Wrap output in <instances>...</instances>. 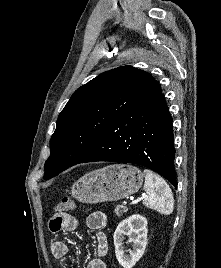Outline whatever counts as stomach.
Instances as JSON below:
<instances>
[{
    "mask_svg": "<svg viewBox=\"0 0 221 268\" xmlns=\"http://www.w3.org/2000/svg\"><path fill=\"white\" fill-rule=\"evenodd\" d=\"M143 177L133 165L113 164L82 176L72 185L71 195L88 204L117 201L137 192Z\"/></svg>",
    "mask_w": 221,
    "mask_h": 268,
    "instance_id": "1",
    "label": "stomach"
}]
</instances>
